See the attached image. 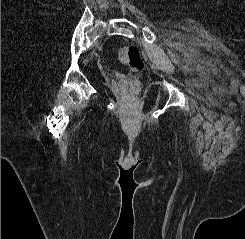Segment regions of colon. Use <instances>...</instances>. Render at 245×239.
<instances>
[{"label": "colon", "instance_id": "5ec220e1", "mask_svg": "<svg viewBox=\"0 0 245 239\" xmlns=\"http://www.w3.org/2000/svg\"><path fill=\"white\" fill-rule=\"evenodd\" d=\"M117 57L121 63L128 66L131 76L130 94L135 96L139 87L138 75L144 69V61L140 50L135 45H128L118 51Z\"/></svg>", "mask_w": 245, "mask_h": 239}]
</instances>
